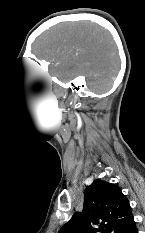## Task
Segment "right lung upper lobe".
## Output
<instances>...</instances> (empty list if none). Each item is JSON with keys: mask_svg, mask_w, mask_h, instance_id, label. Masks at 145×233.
<instances>
[{"mask_svg": "<svg viewBox=\"0 0 145 233\" xmlns=\"http://www.w3.org/2000/svg\"><path fill=\"white\" fill-rule=\"evenodd\" d=\"M132 217L129 201L121 189L95 180L84 192L82 213L76 212L58 233H120Z\"/></svg>", "mask_w": 145, "mask_h": 233, "instance_id": "cb5924a9", "label": "right lung upper lobe"}]
</instances>
